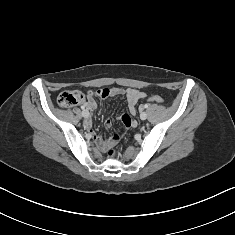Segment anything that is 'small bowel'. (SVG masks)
I'll list each match as a JSON object with an SVG mask.
<instances>
[{
	"label": "small bowel",
	"mask_w": 235,
	"mask_h": 235,
	"mask_svg": "<svg viewBox=\"0 0 235 235\" xmlns=\"http://www.w3.org/2000/svg\"><path fill=\"white\" fill-rule=\"evenodd\" d=\"M105 92L103 95L102 92ZM123 95L125 96L127 103H128V109L131 115L136 114V104L138 103L139 100L144 99L146 97V94L142 91H139L137 89H122V88H110V89H105V90H99L95 95H90L88 96V99L84 102L83 106L87 108L88 110L92 111L96 108V101L94 99L95 96H99L101 98H106L109 96H119ZM112 124V120L108 118L105 122V126L109 128ZM84 127L88 131L90 135L101 145L104 144L105 139L101 135H96L92 129V124L90 120H86L84 122Z\"/></svg>",
	"instance_id": "small-bowel-1"
}]
</instances>
